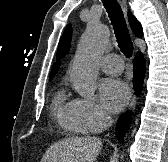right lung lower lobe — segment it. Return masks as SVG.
Listing matches in <instances>:
<instances>
[{
    "mask_svg": "<svg viewBox=\"0 0 168 162\" xmlns=\"http://www.w3.org/2000/svg\"><path fill=\"white\" fill-rule=\"evenodd\" d=\"M144 75H145V61L143 59V55L139 53L134 59V77H133L134 88L137 95H139L141 92ZM130 121L131 117L129 116V113L122 115L118 120L116 131H117V139L120 142H123L125 133L130 127Z\"/></svg>",
    "mask_w": 168,
    "mask_h": 162,
    "instance_id": "98d812e1",
    "label": "right lung lower lobe"
}]
</instances>
